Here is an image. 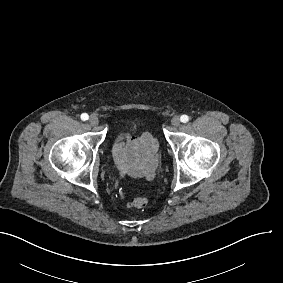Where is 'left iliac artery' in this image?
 I'll list each match as a JSON object with an SVG mask.
<instances>
[{
	"label": "left iliac artery",
	"mask_w": 283,
	"mask_h": 283,
	"mask_svg": "<svg viewBox=\"0 0 283 283\" xmlns=\"http://www.w3.org/2000/svg\"><path fill=\"white\" fill-rule=\"evenodd\" d=\"M188 120H189V117H188L187 115H182V116L180 117V121L183 122V123L188 122Z\"/></svg>",
	"instance_id": "obj_1"
}]
</instances>
